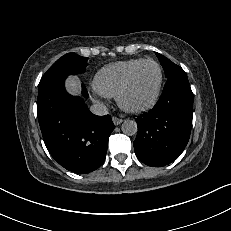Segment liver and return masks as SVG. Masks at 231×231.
Instances as JSON below:
<instances>
[{
	"instance_id": "liver-1",
	"label": "liver",
	"mask_w": 231,
	"mask_h": 231,
	"mask_svg": "<svg viewBox=\"0 0 231 231\" xmlns=\"http://www.w3.org/2000/svg\"><path fill=\"white\" fill-rule=\"evenodd\" d=\"M66 89L72 95L80 94V82L77 77H69L66 81Z\"/></svg>"
}]
</instances>
